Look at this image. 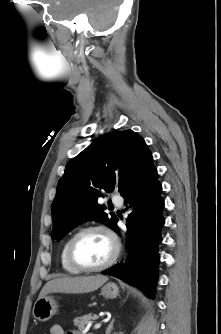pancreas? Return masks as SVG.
<instances>
[{
    "label": "pancreas",
    "mask_w": 221,
    "mask_h": 334,
    "mask_svg": "<svg viewBox=\"0 0 221 334\" xmlns=\"http://www.w3.org/2000/svg\"><path fill=\"white\" fill-rule=\"evenodd\" d=\"M96 316H93L92 314L84 315L81 317H77L74 319V325L80 330H84L86 328V325L90 323L92 320H94ZM91 334V333H89Z\"/></svg>",
    "instance_id": "1"
}]
</instances>
